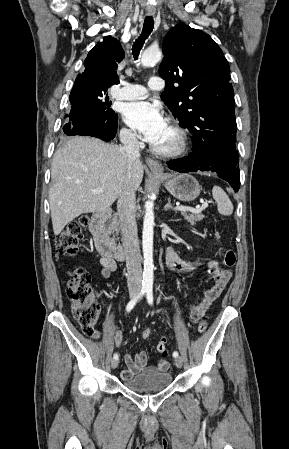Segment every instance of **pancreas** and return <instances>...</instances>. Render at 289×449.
Wrapping results in <instances>:
<instances>
[{"mask_svg": "<svg viewBox=\"0 0 289 449\" xmlns=\"http://www.w3.org/2000/svg\"><path fill=\"white\" fill-rule=\"evenodd\" d=\"M182 215L191 225H195L197 221H201L205 217L201 213H188L186 211H183ZM108 232L118 233V222L116 218H113L111 223L108 225Z\"/></svg>", "mask_w": 289, "mask_h": 449, "instance_id": "cf45deb5", "label": "pancreas"}]
</instances>
